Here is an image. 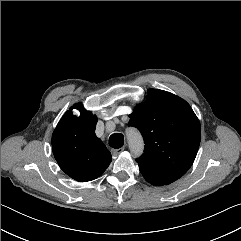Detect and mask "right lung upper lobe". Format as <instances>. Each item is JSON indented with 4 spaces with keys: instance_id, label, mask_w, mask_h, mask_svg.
I'll return each mask as SVG.
<instances>
[{
    "instance_id": "obj_1",
    "label": "right lung upper lobe",
    "mask_w": 241,
    "mask_h": 241,
    "mask_svg": "<svg viewBox=\"0 0 241 241\" xmlns=\"http://www.w3.org/2000/svg\"><path fill=\"white\" fill-rule=\"evenodd\" d=\"M73 109L80 111L79 117L73 115ZM96 123L95 115L75 104L52 135L53 154L60 168L79 182L96 179L112 161L111 153L95 134Z\"/></svg>"
}]
</instances>
